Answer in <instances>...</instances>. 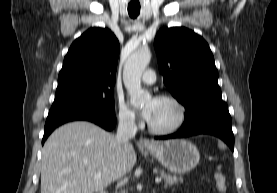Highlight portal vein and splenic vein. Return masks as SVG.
I'll return each instance as SVG.
<instances>
[{
  "instance_id": "portal-vein-and-splenic-vein-1",
  "label": "portal vein and splenic vein",
  "mask_w": 277,
  "mask_h": 193,
  "mask_svg": "<svg viewBox=\"0 0 277 193\" xmlns=\"http://www.w3.org/2000/svg\"><path fill=\"white\" fill-rule=\"evenodd\" d=\"M161 180H162V178H161V177H156V178H155V182H156V183H160V182H161Z\"/></svg>"
}]
</instances>
